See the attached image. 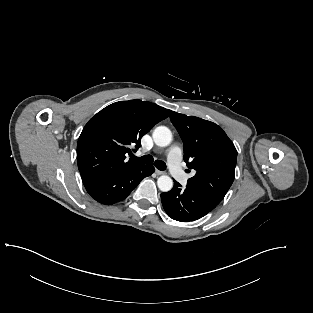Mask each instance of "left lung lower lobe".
<instances>
[{
  "label": "left lung lower lobe",
  "instance_id": "left-lung-lower-lobe-1",
  "mask_svg": "<svg viewBox=\"0 0 313 313\" xmlns=\"http://www.w3.org/2000/svg\"><path fill=\"white\" fill-rule=\"evenodd\" d=\"M161 200L168 216L180 222L197 220L221 202L220 198L189 185L181 188V185L175 180L171 191L161 193Z\"/></svg>",
  "mask_w": 313,
  "mask_h": 313
}]
</instances>
